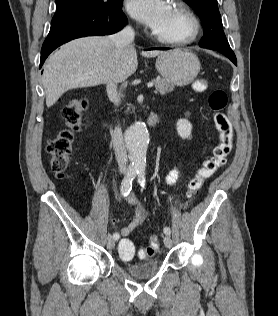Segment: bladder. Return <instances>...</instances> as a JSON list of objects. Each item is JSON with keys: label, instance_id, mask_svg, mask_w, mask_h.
<instances>
[{"label": "bladder", "instance_id": "bladder-1", "mask_svg": "<svg viewBox=\"0 0 278 316\" xmlns=\"http://www.w3.org/2000/svg\"><path fill=\"white\" fill-rule=\"evenodd\" d=\"M160 262L157 259L148 260L141 263H128L125 269L129 274L137 278H146L157 272Z\"/></svg>", "mask_w": 278, "mask_h": 316}]
</instances>
